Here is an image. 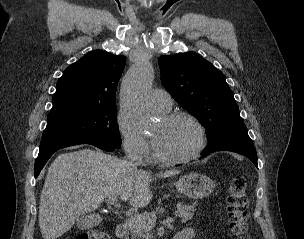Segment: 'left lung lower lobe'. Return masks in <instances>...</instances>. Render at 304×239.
<instances>
[{"label": "left lung lower lobe", "mask_w": 304, "mask_h": 239, "mask_svg": "<svg viewBox=\"0 0 304 239\" xmlns=\"http://www.w3.org/2000/svg\"><path fill=\"white\" fill-rule=\"evenodd\" d=\"M222 150L232 151L244 155L247 158H249L257 167V153L254 145H236V146L223 147L214 150H207L203 152L202 157H205L212 152L222 151Z\"/></svg>", "instance_id": "left-lung-lower-lobe-1"}]
</instances>
